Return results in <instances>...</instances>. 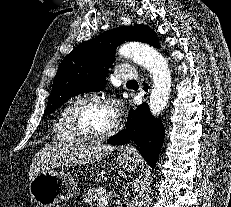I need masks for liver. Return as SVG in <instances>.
<instances>
[{
	"instance_id": "6515ba94",
	"label": "liver",
	"mask_w": 231,
	"mask_h": 207,
	"mask_svg": "<svg viewBox=\"0 0 231 207\" xmlns=\"http://www.w3.org/2000/svg\"><path fill=\"white\" fill-rule=\"evenodd\" d=\"M114 147L104 144L46 145L32 160L29 181L36 174L58 164L88 165L111 153Z\"/></svg>"
}]
</instances>
